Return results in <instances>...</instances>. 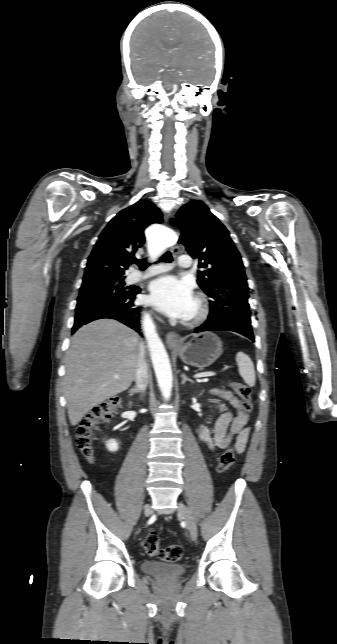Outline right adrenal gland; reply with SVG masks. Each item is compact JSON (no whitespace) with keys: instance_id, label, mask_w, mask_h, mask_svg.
<instances>
[{"instance_id":"right-adrenal-gland-1","label":"right adrenal gland","mask_w":337,"mask_h":644,"mask_svg":"<svg viewBox=\"0 0 337 644\" xmlns=\"http://www.w3.org/2000/svg\"><path fill=\"white\" fill-rule=\"evenodd\" d=\"M139 392H140V390L137 387H133V388L130 389L131 394H136V393H139Z\"/></svg>"}]
</instances>
